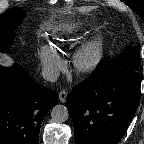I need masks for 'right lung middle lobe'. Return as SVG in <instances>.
I'll return each instance as SVG.
<instances>
[{"instance_id": "obj_1", "label": "right lung middle lobe", "mask_w": 144, "mask_h": 144, "mask_svg": "<svg viewBox=\"0 0 144 144\" xmlns=\"http://www.w3.org/2000/svg\"><path fill=\"white\" fill-rule=\"evenodd\" d=\"M24 11L14 7L0 14V52H5L11 44L12 33L24 19Z\"/></svg>"}]
</instances>
